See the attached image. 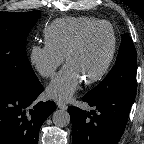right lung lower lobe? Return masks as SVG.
<instances>
[{
	"mask_svg": "<svg viewBox=\"0 0 144 144\" xmlns=\"http://www.w3.org/2000/svg\"><path fill=\"white\" fill-rule=\"evenodd\" d=\"M43 91L34 86L0 85V144H38L43 122L55 110L52 101L35 103Z\"/></svg>",
	"mask_w": 144,
	"mask_h": 144,
	"instance_id": "98d812e1",
	"label": "right lung lower lobe"
}]
</instances>
